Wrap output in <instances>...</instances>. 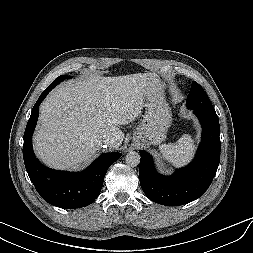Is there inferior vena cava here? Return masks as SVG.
Segmentation results:
<instances>
[{
  "label": "inferior vena cava",
  "instance_id": "inferior-vena-cava-1",
  "mask_svg": "<svg viewBox=\"0 0 253 253\" xmlns=\"http://www.w3.org/2000/svg\"><path fill=\"white\" fill-rule=\"evenodd\" d=\"M102 142L108 145L114 142V138L111 135H103Z\"/></svg>",
  "mask_w": 253,
  "mask_h": 253
}]
</instances>
